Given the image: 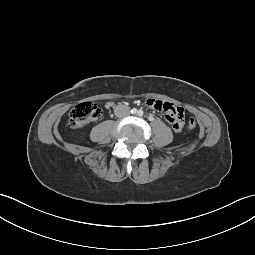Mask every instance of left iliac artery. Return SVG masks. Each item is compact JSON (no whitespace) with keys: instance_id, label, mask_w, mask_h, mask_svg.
<instances>
[{"instance_id":"44dca946","label":"left iliac artery","mask_w":255,"mask_h":255,"mask_svg":"<svg viewBox=\"0 0 255 255\" xmlns=\"http://www.w3.org/2000/svg\"><path fill=\"white\" fill-rule=\"evenodd\" d=\"M137 114H138V116H143L144 112H143L142 110H139V111L137 112Z\"/></svg>"}]
</instances>
